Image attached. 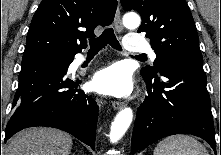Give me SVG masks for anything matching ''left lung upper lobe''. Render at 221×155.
I'll use <instances>...</instances> for the list:
<instances>
[{"label": "left lung upper lobe", "mask_w": 221, "mask_h": 155, "mask_svg": "<svg viewBox=\"0 0 221 155\" xmlns=\"http://www.w3.org/2000/svg\"><path fill=\"white\" fill-rule=\"evenodd\" d=\"M125 10H137L144 32L157 57L154 66L141 69L142 75L156 72L172 61L203 63L199 39L190 9L185 0H121Z\"/></svg>", "instance_id": "1"}]
</instances>
